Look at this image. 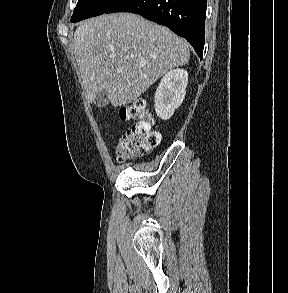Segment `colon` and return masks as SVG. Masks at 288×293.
<instances>
[{"label": "colon", "mask_w": 288, "mask_h": 293, "mask_svg": "<svg viewBox=\"0 0 288 293\" xmlns=\"http://www.w3.org/2000/svg\"><path fill=\"white\" fill-rule=\"evenodd\" d=\"M119 114L122 120L133 122L131 128L117 140L116 155L119 161L146 154L159 144L161 133L153 129V120L144 101L122 106Z\"/></svg>", "instance_id": "obj_1"}]
</instances>
